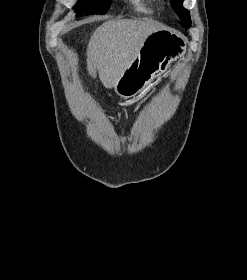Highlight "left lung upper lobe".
I'll return each mask as SVG.
<instances>
[{"label": "left lung upper lobe", "instance_id": "5c2ea615", "mask_svg": "<svg viewBox=\"0 0 247 280\" xmlns=\"http://www.w3.org/2000/svg\"><path fill=\"white\" fill-rule=\"evenodd\" d=\"M182 2L183 0H172L175 12L184 23V26L188 27L191 24L190 14L188 10L183 8Z\"/></svg>", "mask_w": 247, "mask_h": 280}]
</instances>
